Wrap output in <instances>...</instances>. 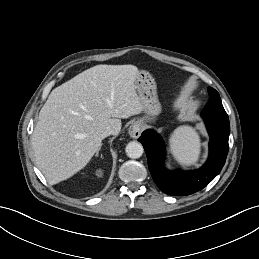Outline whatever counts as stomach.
<instances>
[{"label": "stomach", "mask_w": 259, "mask_h": 259, "mask_svg": "<svg viewBox=\"0 0 259 259\" xmlns=\"http://www.w3.org/2000/svg\"><path fill=\"white\" fill-rule=\"evenodd\" d=\"M135 88L138 93L145 117L139 119L137 123H155L161 113V104L158 100L157 85L154 78L147 72L141 71L135 78Z\"/></svg>", "instance_id": "1"}]
</instances>
